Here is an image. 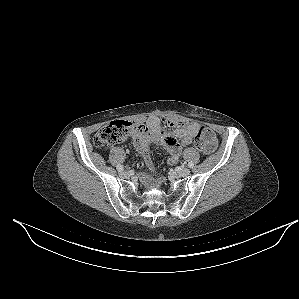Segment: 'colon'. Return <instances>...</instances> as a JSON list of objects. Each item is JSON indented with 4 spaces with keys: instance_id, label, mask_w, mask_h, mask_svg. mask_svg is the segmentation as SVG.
I'll return each mask as SVG.
<instances>
[{
    "instance_id": "1",
    "label": "colon",
    "mask_w": 299,
    "mask_h": 299,
    "mask_svg": "<svg viewBox=\"0 0 299 299\" xmlns=\"http://www.w3.org/2000/svg\"><path fill=\"white\" fill-rule=\"evenodd\" d=\"M168 126L174 127L173 122H167ZM143 128L142 124L126 120H115L103 126L94 137L96 147L103 148L120 143L133 136L134 131ZM205 127L195 136L196 147L203 152H210L211 147L204 139Z\"/></svg>"
}]
</instances>
